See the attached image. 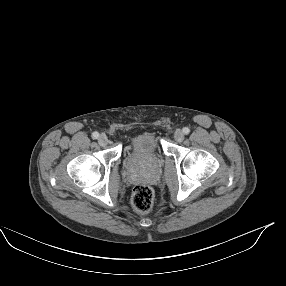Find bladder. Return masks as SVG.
I'll return each instance as SVG.
<instances>
[{
	"label": "bladder",
	"instance_id": "31cf9c89",
	"mask_svg": "<svg viewBox=\"0 0 286 286\" xmlns=\"http://www.w3.org/2000/svg\"><path fill=\"white\" fill-rule=\"evenodd\" d=\"M131 155H140L146 152H159L161 142L158 135L152 131L137 134L130 142Z\"/></svg>",
	"mask_w": 286,
	"mask_h": 286
}]
</instances>
